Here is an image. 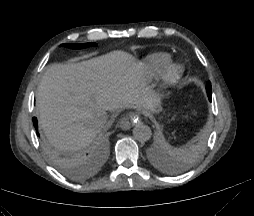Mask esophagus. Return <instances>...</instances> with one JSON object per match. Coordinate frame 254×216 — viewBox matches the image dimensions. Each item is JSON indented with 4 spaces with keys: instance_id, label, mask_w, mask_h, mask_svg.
<instances>
[{
    "instance_id": "34e87169",
    "label": "esophagus",
    "mask_w": 254,
    "mask_h": 216,
    "mask_svg": "<svg viewBox=\"0 0 254 216\" xmlns=\"http://www.w3.org/2000/svg\"><path fill=\"white\" fill-rule=\"evenodd\" d=\"M141 122V117L138 114H128L127 116L123 117L119 125L123 130H128L130 129L135 123H140Z\"/></svg>"
}]
</instances>
